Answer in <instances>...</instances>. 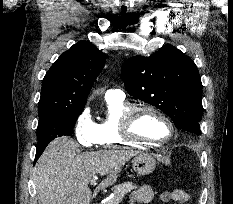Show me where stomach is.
I'll list each match as a JSON object with an SVG mask.
<instances>
[{
    "instance_id": "0dacf381",
    "label": "stomach",
    "mask_w": 233,
    "mask_h": 204,
    "mask_svg": "<svg viewBox=\"0 0 233 204\" xmlns=\"http://www.w3.org/2000/svg\"><path fill=\"white\" fill-rule=\"evenodd\" d=\"M156 161L148 154H139L132 159L133 170L138 175H148L155 169Z\"/></svg>"
}]
</instances>
